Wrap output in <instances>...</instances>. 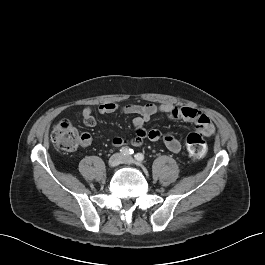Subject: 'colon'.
Wrapping results in <instances>:
<instances>
[{"label": "colon", "instance_id": "colon-1", "mask_svg": "<svg viewBox=\"0 0 265 265\" xmlns=\"http://www.w3.org/2000/svg\"><path fill=\"white\" fill-rule=\"evenodd\" d=\"M51 139L54 145L64 152L75 151L82 140V136L69 121L58 123L52 130ZM188 153L195 159H200L207 152V143L204 136L198 132H191L186 138Z\"/></svg>", "mask_w": 265, "mask_h": 265}]
</instances>
